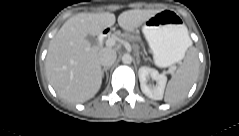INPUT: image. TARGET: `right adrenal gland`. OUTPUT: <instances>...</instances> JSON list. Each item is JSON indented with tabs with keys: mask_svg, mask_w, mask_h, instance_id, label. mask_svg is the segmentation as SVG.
<instances>
[{
	"mask_svg": "<svg viewBox=\"0 0 239 136\" xmlns=\"http://www.w3.org/2000/svg\"><path fill=\"white\" fill-rule=\"evenodd\" d=\"M110 69V67H104L102 69V77H104V72H106V81L108 80V70Z\"/></svg>",
	"mask_w": 239,
	"mask_h": 136,
	"instance_id": "1",
	"label": "right adrenal gland"
}]
</instances>
